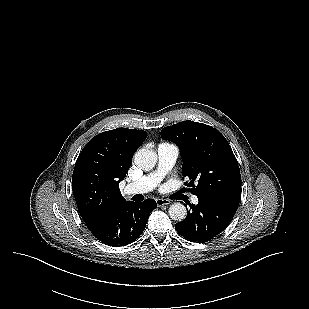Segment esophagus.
I'll return each mask as SVG.
<instances>
[{
	"instance_id": "obj_1",
	"label": "esophagus",
	"mask_w": 309,
	"mask_h": 309,
	"mask_svg": "<svg viewBox=\"0 0 309 309\" xmlns=\"http://www.w3.org/2000/svg\"><path fill=\"white\" fill-rule=\"evenodd\" d=\"M156 204L158 207H162L164 205H169L171 204V201L168 199H156Z\"/></svg>"
}]
</instances>
